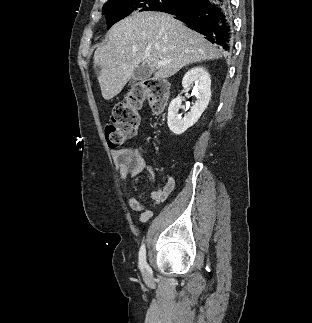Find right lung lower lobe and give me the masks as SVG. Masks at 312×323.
Listing matches in <instances>:
<instances>
[{
  "label": "right lung lower lobe",
  "mask_w": 312,
  "mask_h": 323,
  "mask_svg": "<svg viewBox=\"0 0 312 323\" xmlns=\"http://www.w3.org/2000/svg\"><path fill=\"white\" fill-rule=\"evenodd\" d=\"M230 0H184L175 7L162 11L175 15L176 19L203 34L213 44L225 51L233 49Z\"/></svg>",
  "instance_id": "1"
}]
</instances>
